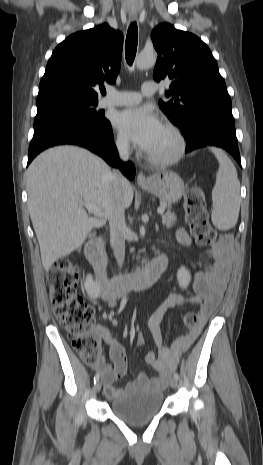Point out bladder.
Listing matches in <instances>:
<instances>
[{
  "mask_svg": "<svg viewBox=\"0 0 263 465\" xmlns=\"http://www.w3.org/2000/svg\"><path fill=\"white\" fill-rule=\"evenodd\" d=\"M163 399V393L160 390L137 387L113 399L110 403V410L130 426H144L160 413Z\"/></svg>",
  "mask_w": 263,
  "mask_h": 465,
  "instance_id": "bladder-1",
  "label": "bladder"
}]
</instances>
